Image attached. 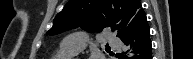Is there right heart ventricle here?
Wrapping results in <instances>:
<instances>
[{"instance_id":"obj_1","label":"right heart ventricle","mask_w":193,"mask_h":59,"mask_svg":"<svg viewBox=\"0 0 193 59\" xmlns=\"http://www.w3.org/2000/svg\"><path fill=\"white\" fill-rule=\"evenodd\" d=\"M76 53L59 49L51 59H71Z\"/></svg>"}]
</instances>
